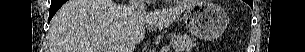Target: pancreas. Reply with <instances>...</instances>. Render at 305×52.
Segmentation results:
<instances>
[{
	"label": "pancreas",
	"mask_w": 305,
	"mask_h": 52,
	"mask_svg": "<svg viewBox=\"0 0 305 52\" xmlns=\"http://www.w3.org/2000/svg\"><path fill=\"white\" fill-rule=\"evenodd\" d=\"M196 39L188 35H177L172 37L171 45L175 52H190L195 46Z\"/></svg>",
	"instance_id": "pancreas-1"
}]
</instances>
